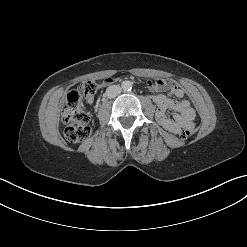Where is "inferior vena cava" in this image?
Listing matches in <instances>:
<instances>
[{
  "instance_id": "602c4592",
  "label": "inferior vena cava",
  "mask_w": 247,
  "mask_h": 247,
  "mask_svg": "<svg viewBox=\"0 0 247 247\" xmlns=\"http://www.w3.org/2000/svg\"><path fill=\"white\" fill-rule=\"evenodd\" d=\"M122 91V88L119 85H111L106 89V96L108 98H114L118 96Z\"/></svg>"
}]
</instances>
